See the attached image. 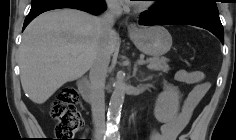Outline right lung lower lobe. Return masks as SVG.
<instances>
[{
    "mask_svg": "<svg viewBox=\"0 0 236 140\" xmlns=\"http://www.w3.org/2000/svg\"><path fill=\"white\" fill-rule=\"evenodd\" d=\"M60 8H74L91 14H99L106 9V5L103 0H101L100 5H93L84 0H45L38 2L32 4L31 10L24 21L23 29L39 14Z\"/></svg>",
    "mask_w": 236,
    "mask_h": 140,
    "instance_id": "1",
    "label": "right lung lower lobe"
}]
</instances>
